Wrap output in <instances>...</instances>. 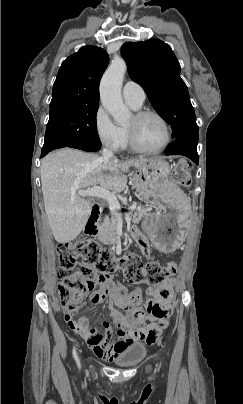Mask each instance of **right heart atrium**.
Masks as SVG:
<instances>
[{
  "instance_id": "right-heart-atrium-1",
  "label": "right heart atrium",
  "mask_w": 243,
  "mask_h": 404,
  "mask_svg": "<svg viewBox=\"0 0 243 404\" xmlns=\"http://www.w3.org/2000/svg\"><path fill=\"white\" fill-rule=\"evenodd\" d=\"M93 127L100 145L113 151L120 152L123 148V133L102 104H99L93 114Z\"/></svg>"
}]
</instances>
